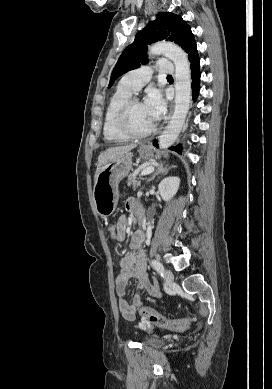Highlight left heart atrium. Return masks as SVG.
I'll use <instances>...</instances> for the list:
<instances>
[{
  "label": "left heart atrium",
  "instance_id": "obj_1",
  "mask_svg": "<svg viewBox=\"0 0 272 389\" xmlns=\"http://www.w3.org/2000/svg\"><path fill=\"white\" fill-rule=\"evenodd\" d=\"M143 105L153 122L160 119L165 110L164 100L158 90L150 91Z\"/></svg>",
  "mask_w": 272,
  "mask_h": 389
}]
</instances>
